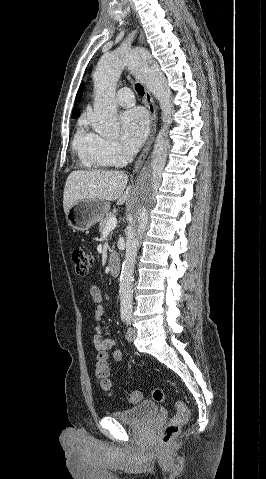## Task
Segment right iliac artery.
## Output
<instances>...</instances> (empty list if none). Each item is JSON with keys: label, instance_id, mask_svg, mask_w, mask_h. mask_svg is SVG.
<instances>
[{"label": "right iliac artery", "instance_id": "1", "mask_svg": "<svg viewBox=\"0 0 266 479\" xmlns=\"http://www.w3.org/2000/svg\"><path fill=\"white\" fill-rule=\"evenodd\" d=\"M122 320H125V316H122Z\"/></svg>", "mask_w": 266, "mask_h": 479}]
</instances>
